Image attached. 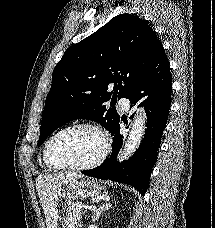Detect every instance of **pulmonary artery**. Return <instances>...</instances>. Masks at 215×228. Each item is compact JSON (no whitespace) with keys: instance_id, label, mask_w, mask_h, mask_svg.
I'll use <instances>...</instances> for the list:
<instances>
[{"instance_id":"e3ab8cb5","label":"pulmonary artery","mask_w":215,"mask_h":228,"mask_svg":"<svg viewBox=\"0 0 215 228\" xmlns=\"http://www.w3.org/2000/svg\"><path fill=\"white\" fill-rule=\"evenodd\" d=\"M118 101L120 102L121 110H130L131 109V106L129 105V102L131 101L130 97H119Z\"/></svg>"}]
</instances>
